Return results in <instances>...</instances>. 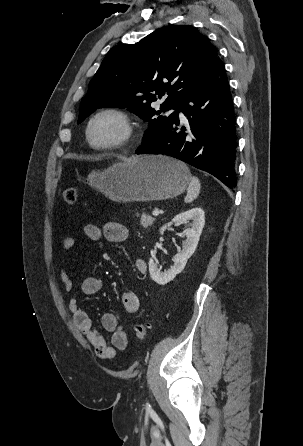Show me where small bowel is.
I'll return each mask as SVG.
<instances>
[{"label": "small bowel", "instance_id": "c3829d8e", "mask_svg": "<svg viewBox=\"0 0 303 446\" xmlns=\"http://www.w3.org/2000/svg\"><path fill=\"white\" fill-rule=\"evenodd\" d=\"M85 237L92 242H98L105 238L111 243H122L129 237V229L122 223L116 221L106 222L102 228L94 224L84 226ZM75 244L74 238L66 236L61 240V247L64 251H69ZM137 274L144 277L147 274V263L144 259L138 258L134 262ZM60 279L66 291H71L72 280L66 270H61ZM102 287L99 277L90 275L81 282V291L85 295L97 293ZM124 309L128 313H135L140 307V301L134 291L127 290L121 297ZM69 310L73 317V322L78 330L83 333L97 356L103 359H114L118 350H124L128 344L127 334L120 325L118 317L113 313H104L101 317L103 329L111 334L109 343L103 335L93 327L92 321L87 312L84 311L76 298L69 301Z\"/></svg>", "mask_w": 303, "mask_h": 446}]
</instances>
